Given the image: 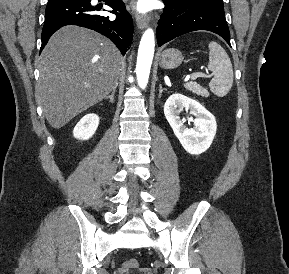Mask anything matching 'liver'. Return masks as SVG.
Here are the masks:
<instances>
[{"label": "liver", "instance_id": "obj_1", "mask_svg": "<svg viewBox=\"0 0 289 274\" xmlns=\"http://www.w3.org/2000/svg\"><path fill=\"white\" fill-rule=\"evenodd\" d=\"M121 63L115 45L94 31L66 26L54 33L40 56L35 89L48 123L59 129L105 99Z\"/></svg>", "mask_w": 289, "mask_h": 274}]
</instances>
